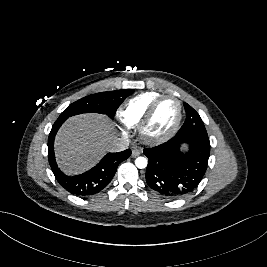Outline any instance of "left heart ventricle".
<instances>
[{"mask_svg": "<svg viewBox=\"0 0 267 267\" xmlns=\"http://www.w3.org/2000/svg\"><path fill=\"white\" fill-rule=\"evenodd\" d=\"M178 115V106L174 99L163 100L155 110V113L147 127L151 136H161L171 130Z\"/></svg>", "mask_w": 267, "mask_h": 267, "instance_id": "1", "label": "left heart ventricle"}]
</instances>
